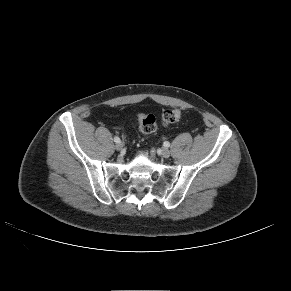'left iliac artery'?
I'll return each mask as SVG.
<instances>
[{"label":"left iliac artery","mask_w":291,"mask_h":291,"mask_svg":"<svg viewBox=\"0 0 291 291\" xmlns=\"http://www.w3.org/2000/svg\"><path fill=\"white\" fill-rule=\"evenodd\" d=\"M164 146L168 148L170 146V143L168 141H165Z\"/></svg>","instance_id":"obj_1"}]
</instances>
